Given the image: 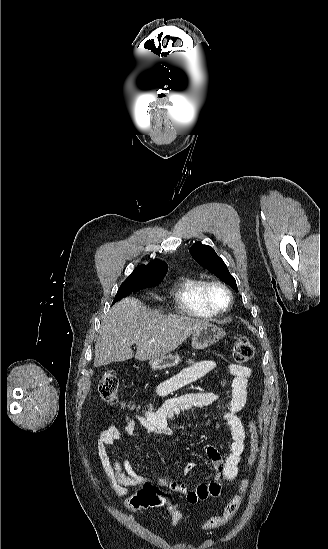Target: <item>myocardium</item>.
I'll use <instances>...</instances> for the list:
<instances>
[{"instance_id": "obj_1", "label": "myocardium", "mask_w": 328, "mask_h": 549, "mask_svg": "<svg viewBox=\"0 0 328 549\" xmlns=\"http://www.w3.org/2000/svg\"><path fill=\"white\" fill-rule=\"evenodd\" d=\"M215 289H221L225 291L228 295V303L226 307L223 309H219L214 305V302L212 300V292ZM202 296L204 300L203 309L214 317H221L227 314L233 307V303H234L233 292L231 288L224 282H221V281L208 282L203 290Z\"/></svg>"}]
</instances>
